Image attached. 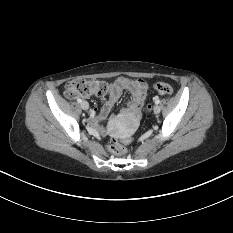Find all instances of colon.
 <instances>
[{
  "label": "colon",
  "mask_w": 233,
  "mask_h": 233,
  "mask_svg": "<svg viewBox=\"0 0 233 233\" xmlns=\"http://www.w3.org/2000/svg\"><path fill=\"white\" fill-rule=\"evenodd\" d=\"M107 87L108 83L105 81L76 78L66 84L65 95L68 98H74L75 96H100L107 91ZM154 88L161 95L170 96L173 94V88L164 82L156 83ZM146 108L149 110L150 105H147ZM108 150L113 154L122 155L126 152L125 142L113 138L112 144L108 145Z\"/></svg>",
  "instance_id": "5ec220e1"
}]
</instances>
